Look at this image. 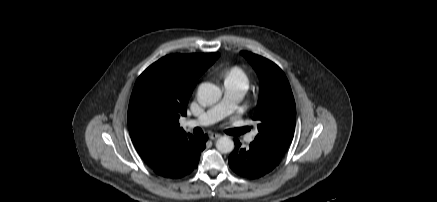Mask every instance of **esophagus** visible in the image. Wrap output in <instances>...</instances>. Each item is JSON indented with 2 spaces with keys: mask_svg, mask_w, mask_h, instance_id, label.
<instances>
[{
  "mask_svg": "<svg viewBox=\"0 0 437 202\" xmlns=\"http://www.w3.org/2000/svg\"><path fill=\"white\" fill-rule=\"evenodd\" d=\"M221 137V135L220 134H217V133H211L210 135H209V138L211 139V140H216V139H218V138H220Z\"/></svg>",
  "mask_w": 437,
  "mask_h": 202,
  "instance_id": "1",
  "label": "esophagus"
}]
</instances>
